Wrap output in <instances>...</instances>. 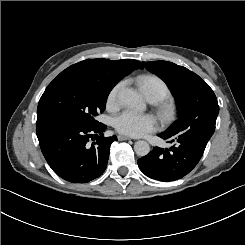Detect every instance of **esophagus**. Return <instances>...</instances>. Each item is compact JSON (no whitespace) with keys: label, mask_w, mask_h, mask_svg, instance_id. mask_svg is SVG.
Returning <instances> with one entry per match:
<instances>
[{"label":"esophagus","mask_w":245,"mask_h":245,"mask_svg":"<svg viewBox=\"0 0 245 245\" xmlns=\"http://www.w3.org/2000/svg\"><path fill=\"white\" fill-rule=\"evenodd\" d=\"M119 141H124V140H130L131 138L129 136H125V135H118L117 136Z\"/></svg>","instance_id":"34e87169"}]
</instances>
